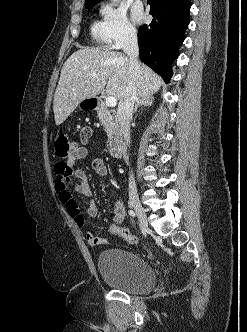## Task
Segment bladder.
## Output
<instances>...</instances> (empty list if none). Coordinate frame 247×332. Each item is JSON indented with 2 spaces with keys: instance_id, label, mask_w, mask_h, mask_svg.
<instances>
[{
  "instance_id": "31cf9c89",
  "label": "bladder",
  "mask_w": 247,
  "mask_h": 332,
  "mask_svg": "<svg viewBox=\"0 0 247 332\" xmlns=\"http://www.w3.org/2000/svg\"><path fill=\"white\" fill-rule=\"evenodd\" d=\"M102 280L109 286L131 294L150 291L156 274L150 263L139 254L122 248L102 251L97 259Z\"/></svg>"
}]
</instances>
